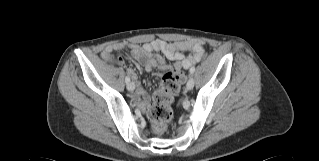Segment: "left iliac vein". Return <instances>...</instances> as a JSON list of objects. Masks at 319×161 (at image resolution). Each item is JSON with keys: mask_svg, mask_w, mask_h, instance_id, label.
<instances>
[{"mask_svg": "<svg viewBox=\"0 0 319 161\" xmlns=\"http://www.w3.org/2000/svg\"><path fill=\"white\" fill-rule=\"evenodd\" d=\"M194 87V78L191 76L189 79H188V82L186 84V89L187 90H192Z\"/></svg>", "mask_w": 319, "mask_h": 161, "instance_id": "left-iliac-vein-1", "label": "left iliac vein"}]
</instances>
